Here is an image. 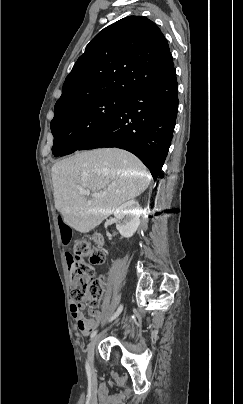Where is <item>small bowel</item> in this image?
<instances>
[{"instance_id":"obj_1","label":"small bowel","mask_w":243,"mask_h":404,"mask_svg":"<svg viewBox=\"0 0 243 404\" xmlns=\"http://www.w3.org/2000/svg\"><path fill=\"white\" fill-rule=\"evenodd\" d=\"M60 230L62 235V240L64 243H68L71 237V231L68 226L60 223ZM66 259L69 267L71 268L73 256L70 253H66ZM85 308L84 302H74L71 304V313L75 319L77 328L84 334L88 335L94 328L97 327L100 322V313H94L93 319H88L84 316L83 310Z\"/></svg>"}]
</instances>
